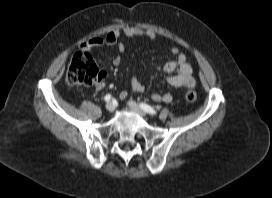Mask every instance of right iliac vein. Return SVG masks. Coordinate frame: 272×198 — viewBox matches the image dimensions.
I'll use <instances>...</instances> for the list:
<instances>
[{"label": "right iliac vein", "mask_w": 272, "mask_h": 198, "mask_svg": "<svg viewBox=\"0 0 272 198\" xmlns=\"http://www.w3.org/2000/svg\"><path fill=\"white\" fill-rule=\"evenodd\" d=\"M106 109H107V111H109V112H113L114 109H115V107H114V105H113L111 102H108V103L106 104Z\"/></svg>", "instance_id": "63e3f726"}]
</instances>
